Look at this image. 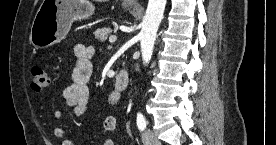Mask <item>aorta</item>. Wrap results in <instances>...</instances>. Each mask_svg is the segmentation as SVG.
Segmentation results:
<instances>
[{
	"mask_svg": "<svg viewBox=\"0 0 276 145\" xmlns=\"http://www.w3.org/2000/svg\"><path fill=\"white\" fill-rule=\"evenodd\" d=\"M167 0H149L140 32L143 64L147 65L152 57L159 25L162 21Z\"/></svg>",
	"mask_w": 276,
	"mask_h": 145,
	"instance_id": "1",
	"label": "aorta"
}]
</instances>
